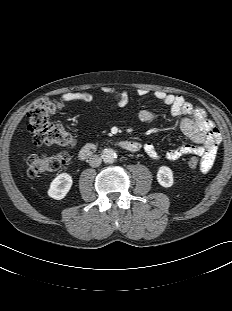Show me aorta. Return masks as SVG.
Wrapping results in <instances>:
<instances>
[{
	"label": "aorta",
	"mask_w": 232,
	"mask_h": 311,
	"mask_svg": "<svg viewBox=\"0 0 232 311\" xmlns=\"http://www.w3.org/2000/svg\"><path fill=\"white\" fill-rule=\"evenodd\" d=\"M101 157L105 163H113L117 158V154L112 148H105Z\"/></svg>",
	"instance_id": "aorta-1"
}]
</instances>
